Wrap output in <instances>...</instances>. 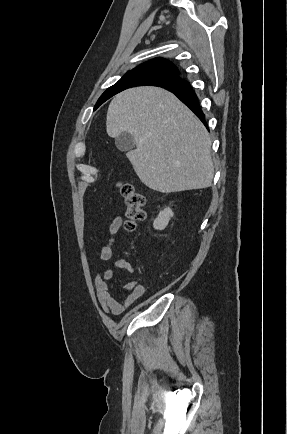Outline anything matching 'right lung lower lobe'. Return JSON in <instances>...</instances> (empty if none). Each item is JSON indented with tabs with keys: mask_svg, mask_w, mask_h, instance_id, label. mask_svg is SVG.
I'll use <instances>...</instances> for the list:
<instances>
[{
	"mask_svg": "<svg viewBox=\"0 0 287 434\" xmlns=\"http://www.w3.org/2000/svg\"><path fill=\"white\" fill-rule=\"evenodd\" d=\"M163 88L173 92L185 105H187L196 116L206 125L205 115L200 108L197 95L193 91L190 83L184 79L163 86Z\"/></svg>",
	"mask_w": 287,
	"mask_h": 434,
	"instance_id": "1",
	"label": "right lung lower lobe"
}]
</instances>
